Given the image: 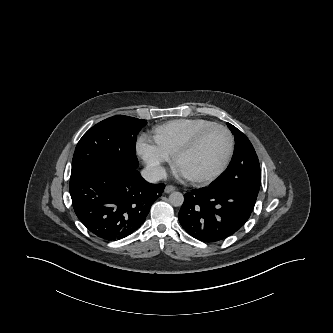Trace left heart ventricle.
Listing matches in <instances>:
<instances>
[{
    "instance_id": "b2bd125f",
    "label": "left heart ventricle",
    "mask_w": 333,
    "mask_h": 333,
    "mask_svg": "<svg viewBox=\"0 0 333 333\" xmlns=\"http://www.w3.org/2000/svg\"><path fill=\"white\" fill-rule=\"evenodd\" d=\"M227 151L226 134L215 129L208 133L194 150L182 156L177 167L186 176H206L220 167Z\"/></svg>"
}]
</instances>
